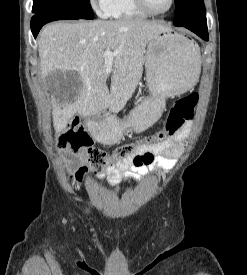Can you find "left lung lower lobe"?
Listing matches in <instances>:
<instances>
[{
  "label": "left lung lower lobe",
  "instance_id": "obj_1",
  "mask_svg": "<svg viewBox=\"0 0 247 275\" xmlns=\"http://www.w3.org/2000/svg\"><path fill=\"white\" fill-rule=\"evenodd\" d=\"M182 27H185L195 34H197L199 37H201L203 40L208 41V31H207V24L206 25H182Z\"/></svg>",
  "mask_w": 247,
  "mask_h": 275
}]
</instances>
